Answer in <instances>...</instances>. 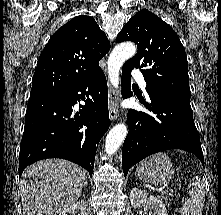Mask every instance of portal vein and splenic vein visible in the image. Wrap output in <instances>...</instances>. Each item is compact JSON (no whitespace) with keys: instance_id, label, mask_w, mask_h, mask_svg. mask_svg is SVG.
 <instances>
[{"instance_id":"1","label":"portal vein and splenic vein","mask_w":221,"mask_h":215,"mask_svg":"<svg viewBox=\"0 0 221 215\" xmlns=\"http://www.w3.org/2000/svg\"><path fill=\"white\" fill-rule=\"evenodd\" d=\"M167 193H169V194H173L174 193V191L173 190H171V191H169V192H167ZM175 194V193H174Z\"/></svg>"}]
</instances>
